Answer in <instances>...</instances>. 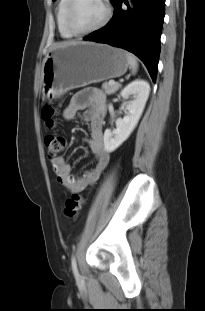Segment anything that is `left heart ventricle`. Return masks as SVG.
Returning <instances> with one entry per match:
<instances>
[{
  "label": "left heart ventricle",
  "mask_w": 205,
  "mask_h": 311,
  "mask_svg": "<svg viewBox=\"0 0 205 311\" xmlns=\"http://www.w3.org/2000/svg\"><path fill=\"white\" fill-rule=\"evenodd\" d=\"M105 8L100 0H76L72 21L79 30L96 26L104 17Z\"/></svg>",
  "instance_id": "b2bd125f"
}]
</instances>
